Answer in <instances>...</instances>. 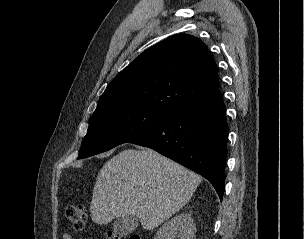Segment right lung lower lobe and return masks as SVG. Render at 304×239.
I'll return each mask as SVG.
<instances>
[{"mask_svg":"<svg viewBox=\"0 0 304 239\" xmlns=\"http://www.w3.org/2000/svg\"><path fill=\"white\" fill-rule=\"evenodd\" d=\"M228 125L217 90L129 143L149 147L205 177L220 200L225 189Z\"/></svg>","mask_w":304,"mask_h":239,"instance_id":"98d812e1","label":"right lung lower lobe"}]
</instances>
